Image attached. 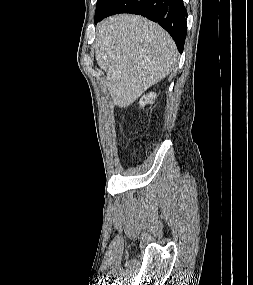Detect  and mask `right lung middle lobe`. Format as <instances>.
I'll return each instance as SVG.
<instances>
[{
  "instance_id": "right-lung-middle-lobe-1",
  "label": "right lung middle lobe",
  "mask_w": 253,
  "mask_h": 285,
  "mask_svg": "<svg viewBox=\"0 0 253 285\" xmlns=\"http://www.w3.org/2000/svg\"><path fill=\"white\" fill-rule=\"evenodd\" d=\"M113 0H97L95 18L100 16Z\"/></svg>"
}]
</instances>
